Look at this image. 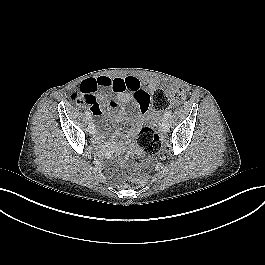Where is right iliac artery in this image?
<instances>
[{"label": "right iliac artery", "instance_id": "obj_1", "mask_svg": "<svg viewBox=\"0 0 265 265\" xmlns=\"http://www.w3.org/2000/svg\"><path fill=\"white\" fill-rule=\"evenodd\" d=\"M85 115H86L87 120H91L92 119L91 113L89 111H86Z\"/></svg>", "mask_w": 265, "mask_h": 265}]
</instances>
